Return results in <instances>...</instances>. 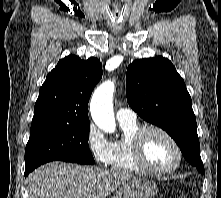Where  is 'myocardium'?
Segmentation results:
<instances>
[{
    "label": "myocardium",
    "mask_w": 221,
    "mask_h": 198,
    "mask_svg": "<svg viewBox=\"0 0 221 198\" xmlns=\"http://www.w3.org/2000/svg\"><path fill=\"white\" fill-rule=\"evenodd\" d=\"M150 132H158L165 136L173 145L176 151L177 159L175 164L167 169H158L153 166H151L145 157V151H144V143L146 136ZM132 148H133V154L134 158L137 162V164L145 171L153 175H168L173 172H175L181 165L182 159H183V153L181 150V147L178 143V141L175 139V137L168 132L166 129L157 126V125H148L141 127L134 135L133 140H132Z\"/></svg>",
    "instance_id": "1"
}]
</instances>
